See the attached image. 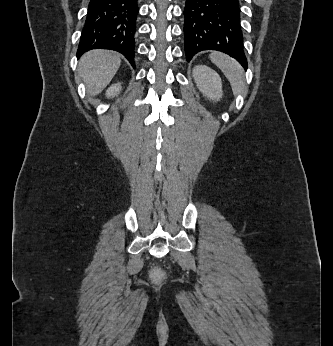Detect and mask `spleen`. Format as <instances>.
Here are the masks:
<instances>
[{"label": "spleen", "instance_id": "1", "mask_svg": "<svg viewBox=\"0 0 333 346\" xmlns=\"http://www.w3.org/2000/svg\"><path fill=\"white\" fill-rule=\"evenodd\" d=\"M211 61L217 65L230 81L234 94H241L244 90L245 80L243 69L237 61L222 53H212Z\"/></svg>", "mask_w": 333, "mask_h": 346}]
</instances>
